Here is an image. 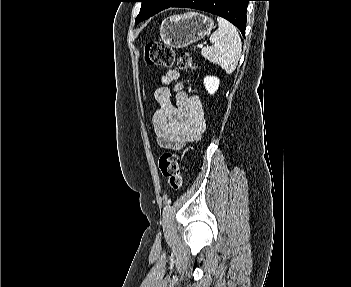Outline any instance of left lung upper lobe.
<instances>
[{
    "label": "left lung upper lobe",
    "mask_w": 351,
    "mask_h": 287,
    "mask_svg": "<svg viewBox=\"0 0 351 287\" xmlns=\"http://www.w3.org/2000/svg\"><path fill=\"white\" fill-rule=\"evenodd\" d=\"M142 3L140 13L135 19V24L169 8L178 0H138Z\"/></svg>",
    "instance_id": "5c2ea615"
}]
</instances>
